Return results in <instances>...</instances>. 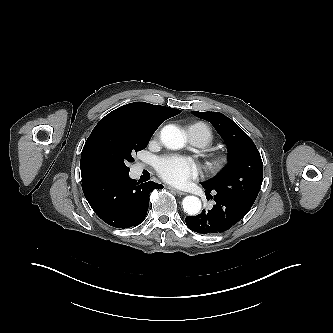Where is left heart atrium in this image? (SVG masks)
I'll list each match as a JSON object with an SVG mask.
<instances>
[{"label":"left heart atrium","mask_w":333,"mask_h":333,"mask_svg":"<svg viewBox=\"0 0 333 333\" xmlns=\"http://www.w3.org/2000/svg\"><path fill=\"white\" fill-rule=\"evenodd\" d=\"M157 171L164 181L176 186H184L197 175L198 169L190 158L169 156L158 161Z\"/></svg>","instance_id":"1"}]
</instances>
